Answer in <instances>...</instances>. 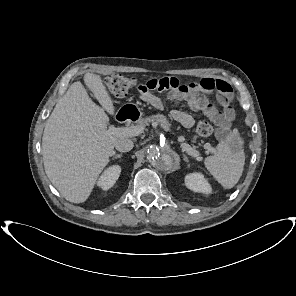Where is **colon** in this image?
Wrapping results in <instances>:
<instances>
[{
	"mask_svg": "<svg viewBox=\"0 0 296 296\" xmlns=\"http://www.w3.org/2000/svg\"><path fill=\"white\" fill-rule=\"evenodd\" d=\"M104 85L111 94L123 97L136 85V80L121 74H113L104 80ZM220 113L214 107L209 106L205 115L212 120V118L219 117ZM197 132L200 136L207 137L212 134L213 126L208 121H200L197 125Z\"/></svg>",
	"mask_w": 296,
	"mask_h": 296,
	"instance_id": "obj_1",
	"label": "colon"
}]
</instances>
